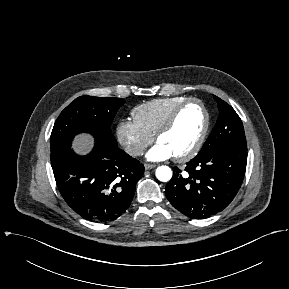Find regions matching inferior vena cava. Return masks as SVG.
I'll return each mask as SVG.
<instances>
[{"mask_svg":"<svg viewBox=\"0 0 289 289\" xmlns=\"http://www.w3.org/2000/svg\"><path fill=\"white\" fill-rule=\"evenodd\" d=\"M126 152L131 156H140L143 154L144 150L141 147L129 146L126 148Z\"/></svg>","mask_w":289,"mask_h":289,"instance_id":"1","label":"inferior vena cava"}]
</instances>
